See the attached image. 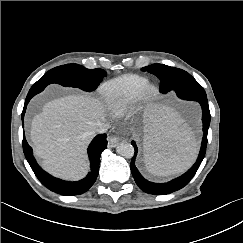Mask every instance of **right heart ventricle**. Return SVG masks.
<instances>
[{"label":"right heart ventricle","instance_id":"right-heart-ventricle-1","mask_svg":"<svg viewBox=\"0 0 243 243\" xmlns=\"http://www.w3.org/2000/svg\"><path fill=\"white\" fill-rule=\"evenodd\" d=\"M147 84L145 77L136 74L123 75L106 84L104 95L116 112L121 113Z\"/></svg>","mask_w":243,"mask_h":243}]
</instances>
